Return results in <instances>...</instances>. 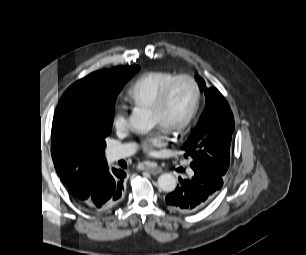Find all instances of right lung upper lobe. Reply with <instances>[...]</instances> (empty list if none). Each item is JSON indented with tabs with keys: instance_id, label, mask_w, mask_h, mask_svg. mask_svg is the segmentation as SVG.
<instances>
[{
	"instance_id": "1",
	"label": "right lung upper lobe",
	"mask_w": 306,
	"mask_h": 255,
	"mask_svg": "<svg viewBox=\"0 0 306 255\" xmlns=\"http://www.w3.org/2000/svg\"><path fill=\"white\" fill-rule=\"evenodd\" d=\"M125 68L128 67H114L111 69L91 73L90 75L72 84L65 91L59 101L53 119L51 146L53 159H55L59 151V145L56 141V134L61 124L62 111L66 103L69 101H94L97 100L101 95L106 94L108 91L114 88H119L122 84L121 71ZM59 175L69 187V184L72 181L64 179L61 174Z\"/></svg>"
}]
</instances>
